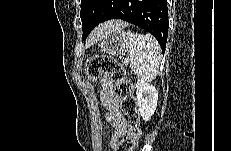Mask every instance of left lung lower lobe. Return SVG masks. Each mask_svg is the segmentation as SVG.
Here are the masks:
<instances>
[{
	"label": "left lung lower lobe",
	"mask_w": 231,
	"mask_h": 151,
	"mask_svg": "<svg viewBox=\"0 0 231 151\" xmlns=\"http://www.w3.org/2000/svg\"><path fill=\"white\" fill-rule=\"evenodd\" d=\"M110 19H121L148 31L158 40L164 53L168 36L166 0H116L100 23Z\"/></svg>",
	"instance_id": "1"
}]
</instances>
